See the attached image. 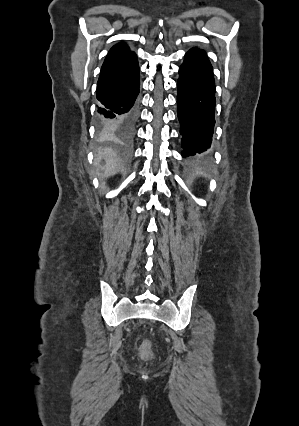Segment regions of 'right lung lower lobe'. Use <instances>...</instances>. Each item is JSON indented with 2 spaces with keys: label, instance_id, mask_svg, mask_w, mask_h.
Masks as SVG:
<instances>
[{
  "label": "right lung lower lobe",
  "instance_id": "obj_1",
  "mask_svg": "<svg viewBox=\"0 0 299 426\" xmlns=\"http://www.w3.org/2000/svg\"><path fill=\"white\" fill-rule=\"evenodd\" d=\"M139 86V66L134 52L104 61L96 94L102 132L120 138L133 135Z\"/></svg>",
  "mask_w": 299,
  "mask_h": 426
}]
</instances>
